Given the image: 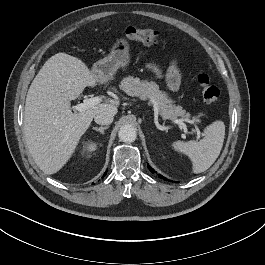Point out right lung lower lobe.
<instances>
[{
    "mask_svg": "<svg viewBox=\"0 0 265 265\" xmlns=\"http://www.w3.org/2000/svg\"><path fill=\"white\" fill-rule=\"evenodd\" d=\"M105 175H106V172H105V174L103 175V177H104ZM103 177H102V178H103Z\"/></svg>",
    "mask_w": 265,
    "mask_h": 265,
    "instance_id": "obj_1",
    "label": "right lung lower lobe"
}]
</instances>
